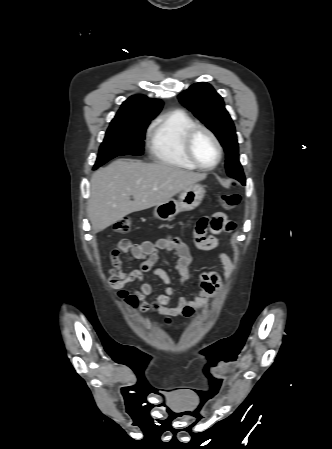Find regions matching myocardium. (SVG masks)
I'll list each match as a JSON object with an SVG mask.
<instances>
[{"label":"myocardium","mask_w":332,"mask_h":449,"mask_svg":"<svg viewBox=\"0 0 332 449\" xmlns=\"http://www.w3.org/2000/svg\"><path fill=\"white\" fill-rule=\"evenodd\" d=\"M200 131L205 132L212 139V141L214 142L216 149H217V159L212 165H209V166L202 165L197 160V158L195 157V155L193 153L192 142H193L195 135ZM183 150H184V153H185L186 157L188 158V160L196 168H199L201 170H206V171L216 168L219 165V163L221 162V159L223 156V148H222V145H221L218 137L216 136V134L210 128H208L204 125H201V124H195L190 129L187 130V132L185 133L184 138H183Z\"/></svg>","instance_id":"myocardium-1"}]
</instances>
